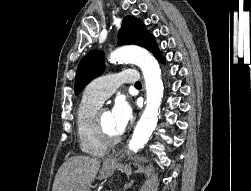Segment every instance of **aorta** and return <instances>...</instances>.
<instances>
[{
    "label": "aorta",
    "instance_id": "obj_1",
    "mask_svg": "<svg viewBox=\"0 0 251 191\" xmlns=\"http://www.w3.org/2000/svg\"><path fill=\"white\" fill-rule=\"evenodd\" d=\"M111 60L136 64V66H140L143 72L146 86V107L129 141V149L138 151L147 143L157 125L158 109L164 94L161 70L158 62L151 56L150 52H147L144 48H137V46L117 48L115 52H112Z\"/></svg>",
    "mask_w": 251,
    "mask_h": 191
}]
</instances>
